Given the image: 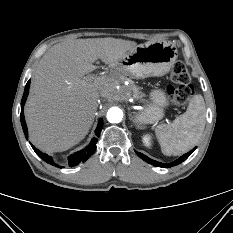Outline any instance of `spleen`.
Wrapping results in <instances>:
<instances>
[{"label":"spleen","instance_id":"3e777b00","mask_svg":"<svg viewBox=\"0 0 233 233\" xmlns=\"http://www.w3.org/2000/svg\"><path fill=\"white\" fill-rule=\"evenodd\" d=\"M206 108L201 95L191 98L186 112L171 124H161L155 129L162 153L177 156L188 152L199 141L205 128Z\"/></svg>","mask_w":233,"mask_h":233}]
</instances>
